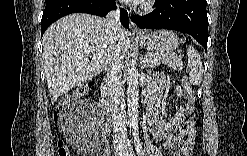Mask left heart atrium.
<instances>
[{
	"label": "left heart atrium",
	"mask_w": 247,
	"mask_h": 156,
	"mask_svg": "<svg viewBox=\"0 0 247 156\" xmlns=\"http://www.w3.org/2000/svg\"><path fill=\"white\" fill-rule=\"evenodd\" d=\"M129 3L133 5H137L144 3V0H130Z\"/></svg>",
	"instance_id": "left-heart-atrium-1"
}]
</instances>
